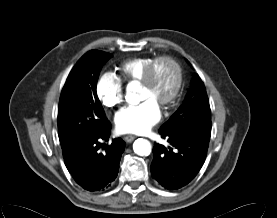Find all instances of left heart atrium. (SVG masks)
<instances>
[{"label":"left heart atrium","instance_id":"1","mask_svg":"<svg viewBox=\"0 0 277 218\" xmlns=\"http://www.w3.org/2000/svg\"><path fill=\"white\" fill-rule=\"evenodd\" d=\"M160 110L156 100L148 98L138 105L125 107L116 117L117 129L121 132H140L157 122Z\"/></svg>","mask_w":277,"mask_h":218}]
</instances>
